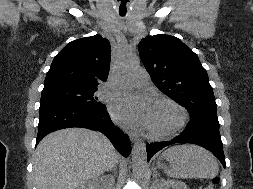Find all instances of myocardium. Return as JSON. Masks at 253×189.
<instances>
[{
	"label": "myocardium",
	"mask_w": 253,
	"mask_h": 189,
	"mask_svg": "<svg viewBox=\"0 0 253 189\" xmlns=\"http://www.w3.org/2000/svg\"><path fill=\"white\" fill-rule=\"evenodd\" d=\"M159 104H165V105L170 106L172 109H174L177 113V120L171 128L164 131H156V130L147 128V135L153 139H166V138L174 136L185 127L188 121V114L183 106H181L179 103L172 100L171 98L158 97L154 101V105H159Z\"/></svg>",
	"instance_id": "myocardium-1"
}]
</instances>
